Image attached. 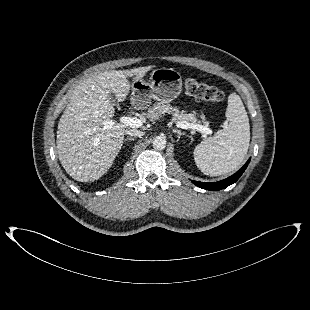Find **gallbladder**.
Listing matches in <instances>:
<instances>
[{
	"label": "gallbladder",
	"mask_w": 310,
	"mask_h": 310,
	"mask_svg": "<svg viewBox=\"0 0 310 310\" xmlns=\"http://www.w3.org/2000/svg\"><path fill=\"white\" fill-rule=\"evenodd\" d=\"M110 98H111V101H112L113 105H115L116 107H118V104L114 102V100H113V98H112L111 95H110Z\"/></svg>",
	"instance_id": "bac80fb5"
}]
</instances>
